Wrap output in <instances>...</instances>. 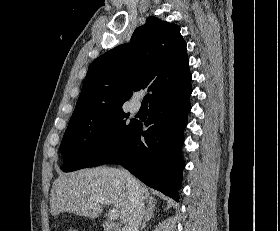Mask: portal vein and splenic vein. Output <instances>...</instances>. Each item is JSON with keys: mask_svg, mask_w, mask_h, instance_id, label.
I'll return each mask as SVG.
<instances>
[{"mask_svg": "<svg viewBox=\"0 0 280 231\" xmlns=\"http://www.w3.org/2000/svg\"><path fill=\"white\" fill-rule=\"evenodd\" d=\"M96 201H101V203H105V205H109V199H105V197H101V199H96ZM118 215H119L118 209H115V207H113V209H110V211H108L109 219H117Z\"/></svg>", "mask_w": 280, "mask_h": 231, "instance_id": "obj_1", "label": "portal vein and splenic vein"}]
</instances>
